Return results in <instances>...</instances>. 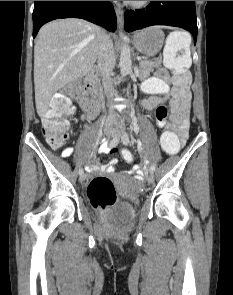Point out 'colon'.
I'll use <instances>...</instances> for the list:
<instances>
[{
	"label": "colon",
	"mask_w": 233,
	"mask_h": 295,
	"mask_svg": "<svg viewBox=\"0 0 233 295\" xmlns=\"http://www.w3.org/2000/svg\"><path fill=\"white\" fill-rule=\"evenodd\" d=\"M191 40L187 34L173 32L169 35L164 53V62L172 74L174 93L180 95L189 91L191 79L187 72L191 64ZM83 89L81 81L67 85L63 92L54 95L43 119V134L52 147H60L68 138V122L64 115L71 113L69 96H77ZM181 141L171 128H166L161 135V146L168 155L177 153ZM122 159L131 164L134 161L129 150H122ZM87 195L92 205L106 210L114 205L117 199L116 189L112 181L104 176L94 177L87 188Z\"/></svg>",
	"instance_id": "colon-1"
}]
</instances>
